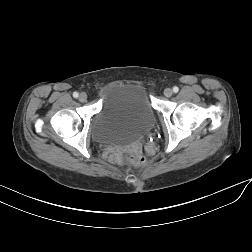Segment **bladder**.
I'll use <instances>...</instances> for the list:
<instances>
[{
  "mask_svg": "<svg viewBox=\"0 0 252 252\" xmlns=\"http://www.w3.org/2000/svg\"><path fill=\"white\" fill-rule=\"evenodd\" d=\"M154 124V110L144 86L114 82L102 90L101 107L92 121L91 134L101 144H130Z\"/></svg>",
  "mask_w": 252,
  "mask_h": 252,
  "instance_id": "31cf9c89",
  "label": "bladder"
}]
</instances>
